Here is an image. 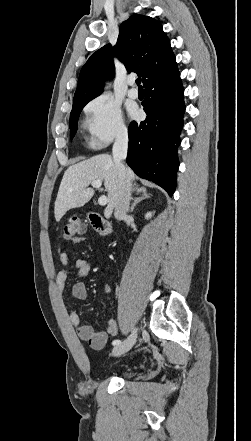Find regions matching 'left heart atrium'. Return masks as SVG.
I'll use <instances>...</instances> for the list:
<instances>
[{
	"label": "left heart atrium",
	"instance_id": "39dd6f15",
	"mask_svg": "<svg viewBox=\"0 0 251 441\" xmlns=\"http://www.w3.org/2000/svg\"><path fill=\"white\" fill-rule=\"evenodd\" d=\"M130 114H131V116L136 117V116H137V110L134 109V108H132V109L130 110Z\"/></svg>",
	"mask_w": 251,
	"mask_h": 441
}]
</instances>
